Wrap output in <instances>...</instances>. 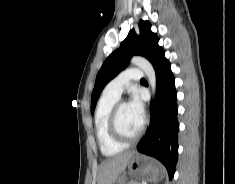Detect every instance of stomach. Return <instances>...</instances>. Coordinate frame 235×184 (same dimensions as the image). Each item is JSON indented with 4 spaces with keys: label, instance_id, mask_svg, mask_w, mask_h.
<instances>
[{
    "label": "stomach",
    "instance_id": "stomach-1",
    "mask_svg": "<svg viewBox=\"0 0 235 184\" xmlns=\"http://www.w3.org/2000/svg\"><path fill=\"white\" fill-rule=\"evenodd\" d=\"M144 156H140L137 152L132 154L128 166V170L136 180H148V182H160L164 178V170L155 162H144ZM113 184H126L125 176H118Z\"/></svg>",
    "mask_w": 235,
    "mask_h": 184
}]
</instances>
